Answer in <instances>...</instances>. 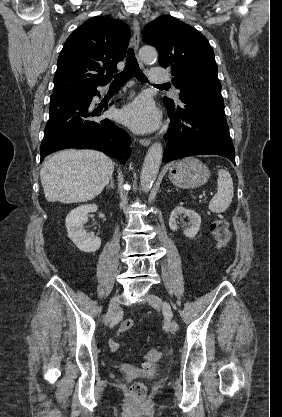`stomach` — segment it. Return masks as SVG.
Masks as SVG:
<instances>
[{"label": "stomach", "mask_w": 282, "mask_h": 417, "mask_svg": "<svg viewBox=\"0 0 282 417\" xmlns=\"http://www.w3.org/2000/svg\"><path fill=\"white\" fill-rule=\"evenodd\" d=\"M168 176L179 188H196L207 182L210 178V170L198 158L186 156L183 160L171 164Z\"/></svg>", "instance_id": "stomach-1"}]
</instances>
